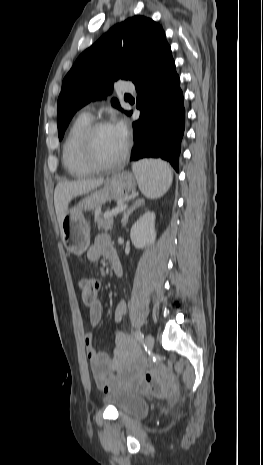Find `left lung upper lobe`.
<instances>
[{
    "label": "left lung upper lobe",
    "instance_id": "obj_1",
    "mask_svg": "<svg viewBox=\"0 0 263 465\" xmlns=\"http://www.w3.org/2000/svg\"><path fill=\"white\" fill-rule=\"evenodd\" d=\"M165 44H168L165 32L158 23L134 16L113 26L85 50L62 83L57 103L59 139L78 109L92 100L105 98L118 79L133 81ZM111 102L121 109L116 99Z\"/></svg>",
    "mask_w": 263,
    "mask_h": 465
}]
</instances>
